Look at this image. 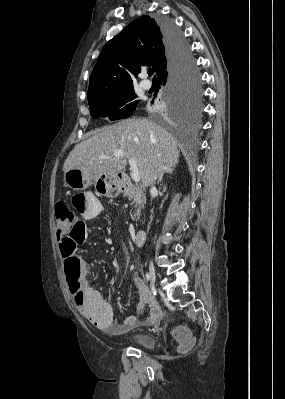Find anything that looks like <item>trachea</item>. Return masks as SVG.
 Wrapping results in <instances>:
<instances>
[{"label":"trachea","instance_id":"trachea-1","mask_svg":"<svg viewBox=\"0 0 285 399\" xmlns=\"http://www.w3.org/2000/svg\"><path fill=\"white\" fill-rule=\"evenodd\" d=\"M147 73H148L149 76H151V75H153V70L152 69H148ZM153 80H156V78L153 77Z\"/></svg>","mask_w":285,"mask_h":399}]
</instances>
